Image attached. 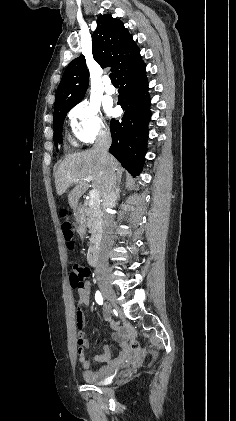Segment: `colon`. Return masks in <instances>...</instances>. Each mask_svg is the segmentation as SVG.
<instances>
[{"mask_svg":"<svg viewBox=\"0 0 236 421\" xmlns=\"http://www.w3.org/2000/svg\"><path fill=\"white\" fill-rule=\"evenodd\" d=\"M73 228L74 225L72 223L67 222L64 224V233L71 247L73 246V243L71 242L73 236ZM89 276L90 270L87 267L81 264H74L70 272V283L72 288L77 291L83 290L88 284ZM130 348L137 354L143 353L139 342L135 339L130 341ZM83 351L84 349L82 348L81 343H79L78 353L82 354Z\"/></svg>","mask_w":236,"mask_h":421,"instance_id":"obj_1","label":"colon"}]
</instances>
